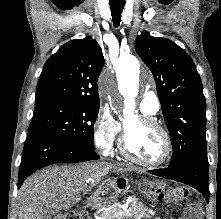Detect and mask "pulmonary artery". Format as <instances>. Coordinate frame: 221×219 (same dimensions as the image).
<instances>
[{"mask_svg": "<svg viewBox=\"0 0 221 219\" xmlns=\"http://www.w3.org/2000/svg\"><path fill=\"white\" fill-rule=\"evenodd\" d=\"M160 108L158 98L153 92H146L142 95L140 109L144 114H155Z\"/></svg>", "mask_w": 221, "mask_h": 219, "instance_id": "1", "label": "pulmonary artery"}]
</instances>
